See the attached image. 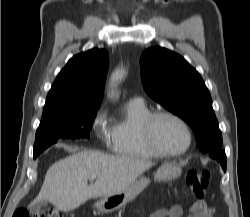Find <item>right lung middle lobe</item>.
Returning <instances> with one entry per match:
<instances>
[{
  "label": "right lung middle lobe",
  "mask_w": 250,
  "mask_h": 217,
  "mask_svg": "<svg viewBox=\"0 0 250 217\" xmlns=\"http://www.w3.org/2000/svg\"><path fill=\"white\" fill-rule=\"evenodd\" d=\"M97 110L67 111L42 117L36 132L34 158L60 138H89Z\"/></svg>",
  "instance_id": "dd1d6c3e"
}]
</instances>
